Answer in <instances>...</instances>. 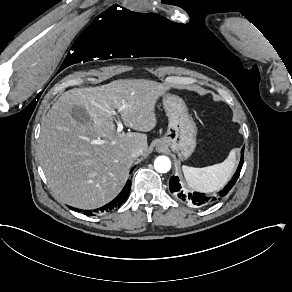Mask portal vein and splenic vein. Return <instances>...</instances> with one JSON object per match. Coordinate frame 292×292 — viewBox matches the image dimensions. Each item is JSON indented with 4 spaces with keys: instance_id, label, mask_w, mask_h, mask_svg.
<instances>
[{
    "instance_id": "18ae733b",
    "label": "portal vein and splenic vein",
    "mask_w": 292,
    "mask_h": 292,
    "mask_svg": "<svg viewBox=\"0 0 292 292\" xmlns=\"http://www.w3.org/2000/svg\"><path fill=\"white\" fill-rule=\"evenodd\" d=\"M121 110V109H120ZM112 114L113 115H116V112L115 111H112ZM123 130V125L121 122H118V128H117V132H121ZM93 143H96V144H103L104 143V140H98V141H93Z\"/></svg>"
}]
</instances>
